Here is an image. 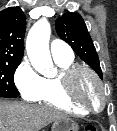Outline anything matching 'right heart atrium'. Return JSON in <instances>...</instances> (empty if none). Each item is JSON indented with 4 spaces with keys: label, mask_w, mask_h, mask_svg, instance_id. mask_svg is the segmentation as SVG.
Wrapping results in <instances>:
<instances>
[{
    "label": "right heart atrium",
    "mask_w": 117,
    "mask_h": 131,
    "mask_svg": "<svg viewBox=\"0 0 117 131\" xmlns=\"http://www.w3.org/2000/svg\"><path fill=\"white\" fill-rule=\"evenodd\" d=\"M14 82L25 100L36 101L43 86V77L25 60L16 69Z\"/></svg>",
    "instance_id": "right-heart-atrium-1"
}]
</instances>
